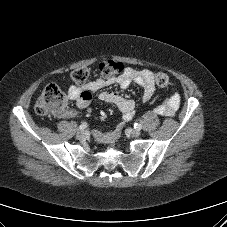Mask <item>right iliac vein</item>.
Segmentation results:
<instances>
[{"label":"right iliac vein","instance_id":"obj_1","mask_svg":"<svg viewBox=\"0 0 227 227\" xmlns=\"http://www.w3.org/2000/svg\"><path fill=\"white\" fill-rule=\"evenodd\" d=\"M76 137L78 140H84L86 138V132L81 130L77 133Z\"/></svg>","mask_w":227,"mask_h":227}]
</instances>
